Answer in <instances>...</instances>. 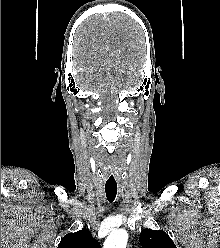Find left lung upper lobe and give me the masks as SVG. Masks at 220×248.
<instances>
[{"mask_svg": "<svg viewBox=\"0 0 220 248\" xmlns=\"http://www.w3.org/2000/svg\"><path fill=\"white\" fill-rule=\"evenodd\" d=\"M139 241L142 248H176L171 238L162 230L144 229Z\"/></svg>", "mask_w": 220, "mask_h": 248, "instance_id": "left-lung-upper-lobe-1", "label": "left lung upper lobe"}]
</instances>
